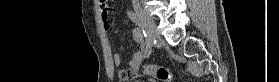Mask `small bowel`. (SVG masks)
<instances>
[{
  "label": "small bowel",
  "mask_w": 279,
  "mask_h": 82,
  "mask_svg": "<svg viewBox=\"0 0 279 82\" xmlns=\"http://www.w3.org/2000/svg\"><path fill=\"white\" fill-rule=\"evenodd\" d=\"M107 2L108 1L106 0H101L99 2V7L101 10V19L105 29H108L110 27L109 20H108V13H107ZM132 36L136 43V51L133 53V56L129 61V66L126 69L120 70L118 73V78L124 81L131 79L138 74L141 63L146 58L145 55L146 45L144 39L141 37L140 30L137 28L133 29ZM112 60L115 66L120 65L121 55L119 53H114ZM121 73H124L125 77L121 76Z\"/></svg>",
  "instance_id": "small-bowel-1"
}]
</instances>
